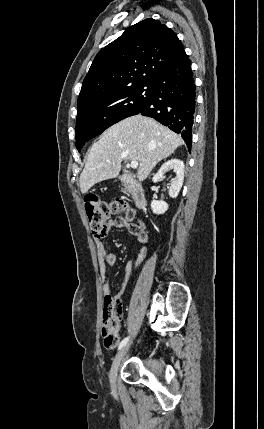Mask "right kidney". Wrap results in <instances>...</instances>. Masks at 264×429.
<instances>
[{
  "label": "right kidney",
  "instance_id": "obj_1",
  "mask_svg": "<svg viewBox=\"0 0 264 429\" xmlns=\"http://www.w3.org/2000/svg\"><path fill=\"white\" fill-rule=\"evenodd\" d=\"M173 170L176 173L174 182L169 188V196L176 198L180 192L184 180V163L179 159H171L165 162L159 171L154 175L153 182L162 181L165 178V173ZM151 209L154 214H164L168 210V204L164 201L152 200Z\"/></svg>",
  "mask_w": 264,
  "mask_h": 429
}]
</instances>
